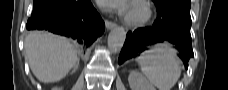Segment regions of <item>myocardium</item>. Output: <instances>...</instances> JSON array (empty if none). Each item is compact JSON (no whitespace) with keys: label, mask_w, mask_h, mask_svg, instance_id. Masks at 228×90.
I'll use <instances>...</instances> for the list:
<instances>
[{"label":"myocardium","mask_w":228,"mask_h":90,"mask_svg":"<svg viewBox=\"0 0 228 90\" xmlns=\"http://www.w3.org/2000/svg\"><path fill=\"white\" fill-rule=\"evenodd\" d=\"M138 5L141 6L144 13L140 18H132L128 14L125 15L124 21L127 25L132 27H140L147 24L152 18V8L148 1L145 0H134L131 2L130 7Z\"/></svg>","instance_id":"myocardium-1"}]
</instances>
